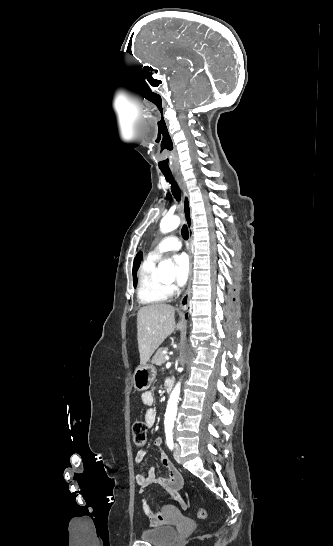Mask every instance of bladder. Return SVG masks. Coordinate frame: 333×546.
I'll use <instances>...</instances> for the list:
<instances>
[{"instance_id":"obj_1","label":"bladder","mask_w":333,"mask_h":546,"mask_svg":"<svg viewBox=\"0 0 333 546\" xmlns=\"http://www.w3.org/2000/svg\"><path fill=\"white\" fill-rule=\"evenodd\" d=\"M140 537L154 546H170L177 540L178 531L173 526H157L142 531Z\"/></svg>"}]
</instances>
